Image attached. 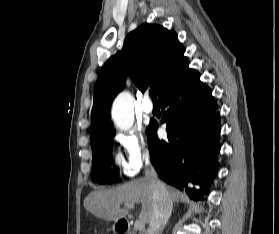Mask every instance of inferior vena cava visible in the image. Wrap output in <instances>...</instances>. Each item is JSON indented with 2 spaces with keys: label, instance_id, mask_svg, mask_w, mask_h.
Listing matches in <instances>:
<instances>
[{
  "label": "inferior vena cava",
  "instance_id": "1",
  "mask_svg": "<svg viewBox=\"0 0 279 234\" xmlns=\"http://www.w3.org/2000/svg\"><path fill=\"white\" fill-rule=\"evenodd\" d=\"M145 177L153 188V214L145 234H161L171 215L172 201L166 186L158 179L152 166L148 165L145 169Z\"/></svg>",
  "mask_w": 279,
  "mask_h": 234
}]
</instances>
